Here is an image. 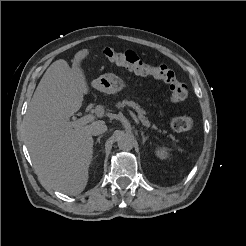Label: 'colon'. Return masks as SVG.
Segmentation results:
<instances>
[{
    "instance_id": "colon-1",
    "label": "colon",
    "mask_w": 246,
    "mask_h": 246,
    "mask_svg": "<svg viewBox=\"0 0 246 246\" xmlns=\"http://www.w3.org/2000/svg\"><path fill=\"white\" fill-rule=\"evenodd\" d=\"M104 57L117 66L123 67L139 75L152 76L169 86L170 99L178 103L187 98V86L180 82L174 71L165 65H152L132 50L119 51L113 47L103 49ZM193 120L189 116L179 115L171 119L170 126L176 132H187L193 128Z\"/></svg>"
}]
</instances>
